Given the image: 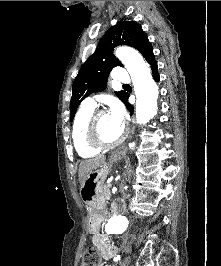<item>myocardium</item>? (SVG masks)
Listing matches in <instances>:
<instances>
[{
    "label": "myocardium",
    "instance_id": "myocardium-1",
    "mask_svg": "<svg viewBox=\"0 0 221 266\" xmlns=\"http://www.w3.org/2000/svg\"><path fill=\"white\" fill-rule=\"evenodd\" d=\"M106 114L104 110H97L90 116L86 126V141L87 143L97 149L113 148L124 141L127 136V130L123 128L120 136L114 141H105L99 134L98 120L100 116Z\"/></svg>",
    "mask_w": 221,
    "mask_h": 266
}]
</instances>
